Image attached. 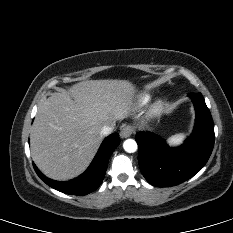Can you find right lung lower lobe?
I'll list each match as a JSON object with an SVG mask.
<instances>
[{
    "mask_svg": "<svg viewBox=\"0 0 233 233\" xmlns=\"http://www.w3.org/2000/svg\"><path fill=\"white\" fill-rule=\"evenodd\" d=\"M118 133H113L102 142L88 169L79 177L60 182L47 178L33 163L37 175L50 187L71 195H86L95 191L103 181L110 155L119 145Z\"/></svg>",
    "mask_w": 233,
    "mask_h": 233,
    "instance_id": "obj_1",
    "label": "right lung lower lobe"
}]
</instances>
